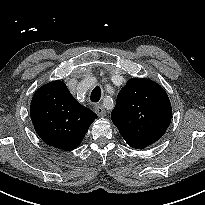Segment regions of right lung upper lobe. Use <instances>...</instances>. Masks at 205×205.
<instances>
[{
    "mask_svg": "<svg viewBox=\"0 0 205 205\" xmlns=\"http://www.w3.org/2000/svg\"><path fill=\"white\" fill-rule=\"evenodd\" d=\"M30 115L39 137L49 146L70 151L79 146L97 115L81 105L62 81L40 87Z\"/></svg>",
    "mask_w": 205,
    "mask_h": 205,
    "instance_id": "right-lung-upper-lobe-1",
    "label": "right lung upper lobe"
}]
</instances>
